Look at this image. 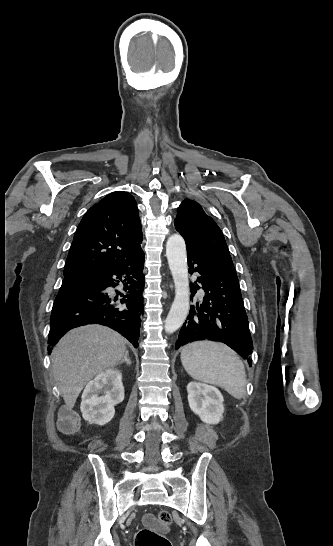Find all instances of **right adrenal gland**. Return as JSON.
<instances>
[{
    "mask_svg": "<svg viewBox=\"0 0 333 546\" xmlns=\"http://www.w3.org/2000/svg\"><path fill=\"white\" fill-rule=\"evenodd\" d=\"M123 362H126L128 365H131V360L128 358V351L126 350L124 358L118 363V365L122 364Z\"/></svg>",
    "mask_w": 333,
    "mask_h": 546,
    "instance_id": "obj_1",
    "label": "right adrenal gland"
}]
</instances>
